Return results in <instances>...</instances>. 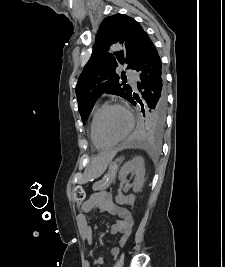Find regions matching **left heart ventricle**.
<instances>
[{"label": "left heart ventricle", "mask_w": 225, "mask_h": 267, "mask_svg": "<svg viewBox=\"0 0 225 267\" xmlns=\"http://www.w3.org/2000/svg\"><path fill=\"white\" fill-rule=\"evenodd\" d=\"M129 126V117L123 109H112L107 112L102 121V132L109 140L121 138Z\"/></svg>", "instance_id": "1"}]
</instances>
